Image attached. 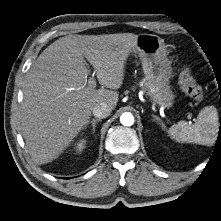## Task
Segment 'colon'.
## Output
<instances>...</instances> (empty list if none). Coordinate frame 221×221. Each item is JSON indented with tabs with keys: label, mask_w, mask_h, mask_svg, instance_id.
<instances>
[{
	"label": "colon",
	"mask_w": 221,
	"mask_h": 221,
	"mask_svg": "<svg viewBox=\"0 0 221 221\" xmlns=\"http://www.w3.org/2000/svg\"><path fill=\"white\" fill-rule=\"evenodd\" d=\"M179 85L183 92L189 97L196 101L202 99V88L188 70L183 71L179 75Z\"/></svg>",
	"instance_id": "colon-1"
}]
</instances>
